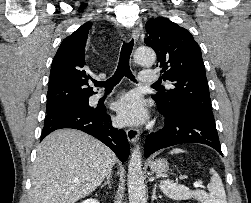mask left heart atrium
<instances>
[{"mask_svg":"<svg viewBox=\"0 0 251 203\" xmlns=\"http://www.w3.org/2000/svg\"><path fill=\"white\" fill-rule=\"evenodd\" d=\"M117 121L121 125H136L146 117V110L140 96L129 93L116 104Z\"/></svg>","mask_w":251,"mask_h":203,"instance_id":"39dd6f15","label":"left heart atrium"}]
</instances>
